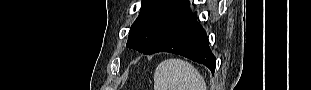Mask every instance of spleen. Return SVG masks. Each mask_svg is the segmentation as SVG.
<instances>
[{
    "label": "spleen",
    "instance_id": "spleen-1",
    "mask_svg": "<svg viewBox=\"0 0 311 90\" xmlns=\"http://www.w3.org/2000/svg\"><path fill=\"white\" fill-rule=\"evenodd\" d=\"M154 90H207V86L192 64L181 59H167L155 70Z\"/></svg>",
    "mask_w": 311,
    "mask_h": 90
}]
</instances>
